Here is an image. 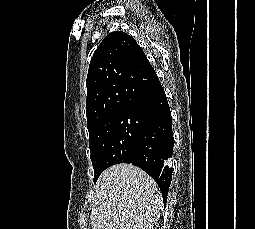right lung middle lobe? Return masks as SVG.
I'll use <instances>...</instances> for the list:
<instances>
[{"mask_svg":"<svg viewBox=\"0 0 255 229\" xmlns=\"http://www.w3.org/2000/svg\"><path fill=\"white\" fill-rule=\"evenodd\" d=\"M141 126V118L124 109L104 121L90 135L94 183L106 168L132 159Z\"/></svg>","mask_w":255,"mask_h":229,"instance_id":"right-lung-middle-lobe-1","label":"right lung middle lobe"}]
</instances>
